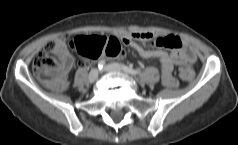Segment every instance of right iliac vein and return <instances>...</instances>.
Wrapping results in <instances>:
<instances>
[{"label": "right iliac vein", "mask_w": 238, "mask_h": 145, "mask_svg": "<svg viewBox=\"0 0 238 145\" xmlns=\"http://www.w3.org/2000/svg\"><path fill=\"white\" fill-rule=\"evenodd\" d=\"M99 76V70L98 69H93L91 70V72L89 73V76H88V81L90 83H93L94 81H96V79L98 78Z\"/></svg>", "instance_id": "obj_1"}]
</instances>
